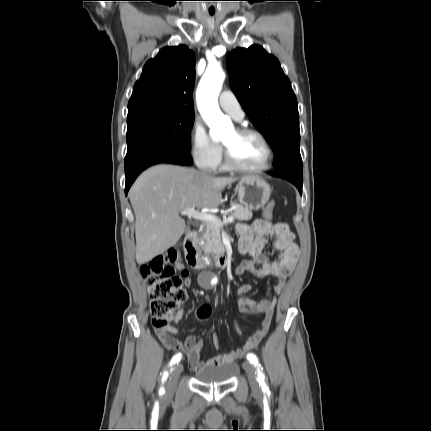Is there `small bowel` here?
Listing matches in <instances>:
<instances>
[{
    "label": "small bowel",
    "mask_w": 431,
    "mask_h": 431,
    "mask_svg": "<svg viewBox=\"0 0 431 431\" xmlns=\"http://www.w3.org/2000/svg\"><path fill=\"white\" fill-rule=\"evenodd\" d=\"M238 230L240 234L238 248L241 254L247 256V258L241 261L236 267L235 274L241 275L245 272H250L259 278L274 276L277 278V282L273 286L272 293L274 296L280 294L284 288L285 281L291 275L296 265L298 248L295 243L294 234L285 223H273L270 221V218L257 219L251 225L239 226ZM267 236L273 238L274 248L279 252L278 258L275 260H269L263 254V249L267 243ZM178 267L181 270L184 284L190 287L192 280L189 271L181 263H178ZM251 290L252 286L250 284H242L236 290L239 310L243 314H261L263 319L260 327L247 338L245 344L231 352L201 361L203 342L200 337L190 335L184 341L174 338L173 335L178 333L177 324L184 314L182 307L178 308L172 324L156 329V334L167 349L177 352V354L186 355L192 370L199 371L208 367L233 362L255 349L267 334L271 324L274 301L266 299L255 301L248 297V293ZM213 343L218 348L215 336L213 337Z\"/></svg>",
    "instance_id": "1"
}]
</instances>
